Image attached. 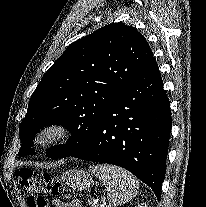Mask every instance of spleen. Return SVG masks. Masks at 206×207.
<instances>
[{"label":"spleen","instance_id":"spleen-1","mask_svg":"<svg viewBox=\"0 0 206 207\" xmlns=\"http://www.w3.org/2000/svg\"><path fill=\"white\" fill-rule=\"evenodd\" d=\"M108 191L109 201L113 205H123L131 201L139 188L138 180L128 171L117 166L97 164L89 167Z\"/></svg>","mask_w":206,"mask_h":207}]
</instances>
